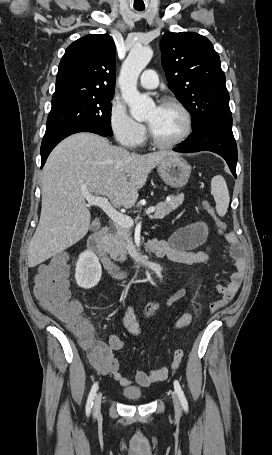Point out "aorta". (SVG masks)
I'll return each instance as SVG.
<instances>
[{
  "instance_id": "762f6f07",
  "label": "aorta",
  "mask_w": 272,
  "mask_h": 455,
  "mask_svg": "<svg viewBox=\"0 0 272 455\" xmlns=\"http://www.w3.org/2000/svg\"><path fill=\"white\" fill-rule=\"evenodd\" d=\"M152 57L150 47H134L124 61L119 76L122 98L128 104L131 116L138 121L144 120L155 106L149 96L137 90L138 77Z\"/></svg>"
}]
</instances>
